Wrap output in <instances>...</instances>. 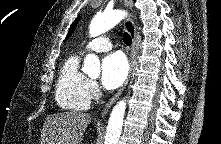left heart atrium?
I'll return each mask as SVG.
<instances>
[{
  "mask_svg": "<svg viewBox=\"0 0 221 144\" xmlns=\"http://www.w3.org/2000/svg\"><path fill=\"white\" fill-rule=\"evenodd\" d=\"M127 74L128 64L121 53H112L103 59L101 81L106 89L112 90L119 87Z\"/></svg>",
  "mask_w": 221,
  "mask_h": 144,
  "instance_id": "1",
  "label": "left heart atrium"
}]
</instances>
